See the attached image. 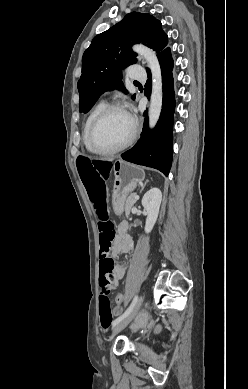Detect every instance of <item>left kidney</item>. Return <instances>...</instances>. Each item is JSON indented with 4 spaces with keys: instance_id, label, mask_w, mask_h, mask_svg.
<instances>
[{
    "instance_id": "obj_1",
    "label": "left kidney",
    "mask_w": 248,
    "mask_h": 389,
    "mask_svg": "<svg viewBox=\"0 0 248 389\" xmlns=\"http://www.w3.org/2000/svg\"><path fill=\"white\" fill-rule=\"evenodd\" d=\"M162 201V193L158 188H151L142 198V206L147 211L145 223V232L149 233L153 229L158 218L160 204Z\"/></svg>"
}]
</instances>
